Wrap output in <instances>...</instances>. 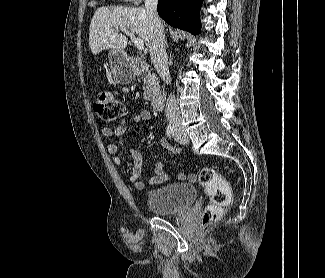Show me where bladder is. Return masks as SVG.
<instances>
[{"label": "bladder", "instance_id": "1", "mask_svg": "<svg viewBox=\"0 0 325 278\" xmlns=\"http://www.w3.org/2000/svg\"><path fill=\"white\" fill-rule=\"evenodd\" d=\"M197 191L190 183H170L152 189L146 197L147 206L157 216L177 214L191 206Z\"/></svg>", "mask_w": 325, "mask_h": 278}]
</instances>
